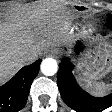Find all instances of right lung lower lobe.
Here are the masks:
<instances>
[{
	"mask_svg": "<svg viewBox=\"0 0 112 112\" xmlns=\"http://www.w3.org/2000/svg\"><path fill=\"white\" fill-rule=\"evenodd\" d=\"M41 60L23 67L0 87V112H18L27 102L30 86L39 72Z\"/></svg>",
	"mask_w": 112,
	"mask_h": 112,
	"instance_id": "right-lung-lower-lobe-1",
	"label": "right lung lower lobe"
}]
</instances>
